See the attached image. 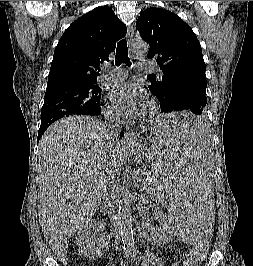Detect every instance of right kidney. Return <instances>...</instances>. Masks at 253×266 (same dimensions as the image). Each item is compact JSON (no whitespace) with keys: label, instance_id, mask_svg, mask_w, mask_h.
I'll return each instance as SVG.
<instances>
[{"label":"right kidney","instance_id":"right-kidney-1","mask_svg":"<svg viewBox=\"0 0 253 266\" xmlns=\"http://www.w3.org/2000/svg\"><path fill=\"white\" fill-rule=\"evenodd\" d=\"M76 241L79 253L93 260L100 258L108 246L105 228L94 219H89L78 229Z\"/></svg>","mask_w":253,"mask_h":266}]
</instances>
